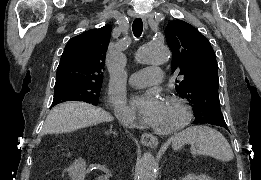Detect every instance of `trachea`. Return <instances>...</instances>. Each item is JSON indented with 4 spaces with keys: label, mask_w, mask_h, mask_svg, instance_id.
I'll return each instance as SVG.
<instances>
[{
    "label": "trachea",
    "mask_w": 261,
    "mask_h": 180,
    "mask_svg": "<svg viewBox=\"0 0 261 180\" xmlns=\"http://www.w3.org/2000/svg\"><path fill=\"white\" fill-rule=\"evenodd\" d=\"M132 30L135 35V37H140L143 31V22L141 18H135L132 24Z\"/></svg>",
    "instance_id": "1"
}]
</instances>
